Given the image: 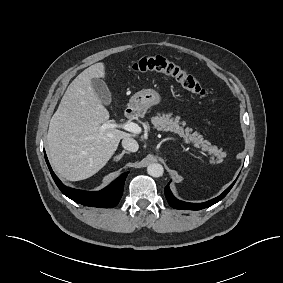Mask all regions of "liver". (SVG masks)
I'll use <instances>...</instances> for the list:
<instances>
[{"instance_id": "liver-1", "label": "liver", "mask_w": 283, "mask_h": 283, "mask_svg": "<svg viewBox=\"0 0 283 283\" xmlns=\"http://www.w3.org/2000/svg\"><path fill=\"white\" fill-rule=\"evenodd\" d=\"M105 77V65L96 63L68 86L50 120L47 154L54 170L70 181L87 179L103 168L121 139L132 136L104 128L109 112L92 87V79Z\"/></svg>"}]
</instances>
